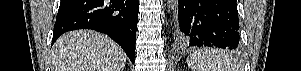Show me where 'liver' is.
<instances>
[{
	"mask_svg": "<svg viewBox=\"0 0 301 71\" xmlns=\"http://www.w3.org/2000/svg\"><path fill=\"white\" fill-rule=\"evenodd\" d=\"M125 63L116 42L91 30L63 34L51 50L52 71H123Z\"/></svg>",
	"mask_w": 301,
	"mask_h": 71,
	"instance_id": "obj_1",
	"label": "liver"
}]
</instances>
